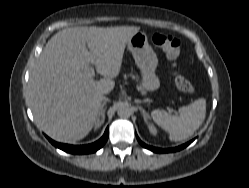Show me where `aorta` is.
Returning <instances> with one entry per match:
<instances>
[{
	"label": "aorta",
	"mask_w": 249,
	"mask_h": 188,
	"mask_svg": "<svg viewBox=\"0 0 249 188\" xmlns=\"http://www.w3.org/2000/svg\"><path fill=\"white\" fill-rule=\"evenodd\" d=\"M117 114L120 118H129L131 116V109L127 105H122L118 108Z\"/></svg>",
	"instance_id": "762f6f07"
}]
</instances>
